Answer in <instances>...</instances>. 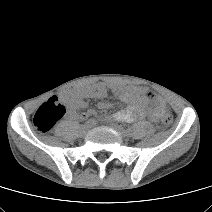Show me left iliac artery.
Masks as SVG:
<instances>
[{
    "mask_svg": "<svg viewBox=\"0 0 212 212\" xmlns=\"http://www.w3.org/2000/svg\"><path fill=\"white\" fill-rule=\"evenodd\" d=\"M127 131H128V132H130V131H131V129H128Z\"/></svg>",
    "mask_w": 212,
    "mask_h": 212,
    "instance_id": "44dca946",
    "label": "left iliac artery"
}]
</instances>
